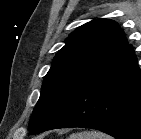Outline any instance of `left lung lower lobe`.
Returning <instances> with one entry per match:
<instances>
[{"instance_id":"left-lung-lower-lobe-1","label":"left lung lower lobe","mask_w":141,"mask_h":139,"mask_svg":"<svg viewBox=\"0 0 141 139\" xmlns=\"http://www.w3.org/2000/svg\"><path fill=\"white\" fill-rule=\"evenodd\" d=\"M70 127L141 139V72L131 45L93 72L40 132Z\"/></svg>"}]
</instances>
